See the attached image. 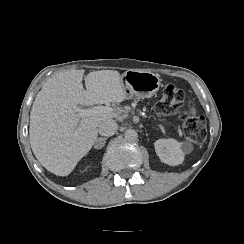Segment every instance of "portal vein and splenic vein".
<instances>
[{
	"label": "portal vein and splenic vein",
	"mask_w": 244,
	"mask_h": 244,
	"mask_svg": "<svg viewBox=\"0 0 244 244\" xmlns=\"http://www.w3.org/2000/svg\"><path fill=\"white\" fill-rule=\"evenodd\" d=\"M109 111H111V108H109L107 106H101V105L95 106L93 108H87V109L78 108L77 109L78 115L80 117L90 116V115L98 114V113H106Z\"/></svg>",
	"instance_id": "18ae733b"
}]
</instances>
